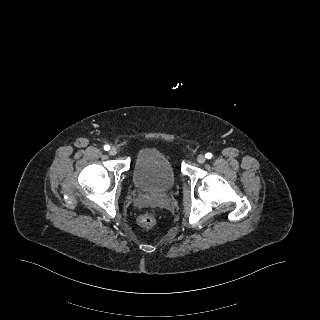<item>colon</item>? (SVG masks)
I'll use <instances>...</instances> for the list:
<instances>
[{
	"instance_id": "5ec220e1",
	"label": "colon",
	"mask_w": 320,
	"mask_h": 320,
	"mask_svg": "<svg viewBox=\"0 0 320 320\" xmlns=\"http://www.w3.org/2000/svg\"><path fill=\"white\" fill-rule=\"evenodd\" d=\"M156 221L157 219L155 215L150 213L142 214L137 219L138 224L145 228L154 226L156 224Z\"/></svg>"
}]
</instances>
